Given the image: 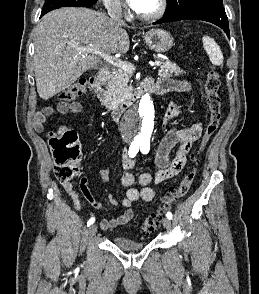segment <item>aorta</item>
<instances>
[{"instance_id": "1", "label": "aorta", "mask_w": 259, "mask_h": 294, "mask_svg": "<svg viewBox=\"0 0 259 294\" xmlns=\"http://www.w3.org/2000/svg\"><path fill=\"white\" fill-rule=\"evenodd\" d=\"M154 123V104L147 93L136 107L126 113L122 130L131 140L150 141L154 133Z\"/></svg>"}]
</instances>
